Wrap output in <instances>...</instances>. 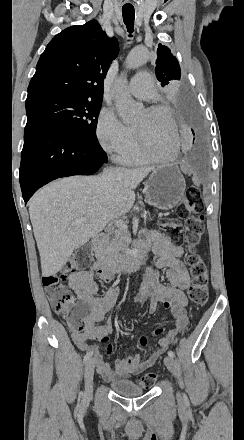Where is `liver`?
Returning a JSON list of instances; mask_svg holds the SVG:
<instances>
[{"instance_id":"1","label":"liver","mask_w":244,"mask_h":440,"mask_svg":"<svg viewBox=\"0 0 244 440\" xmlns=\"http://www.w3.org/2000/svg\"><path fill=\"white\" fill-rule=\"evenodd\" d=\"M154 168H116L99 176L59 178L30 200L29 216L37 242L42 276H55L73 250L102 232L107 222L130 212L135 188ZM86 218L82 226L75 218Z\"/></svg>"}]
</instances>
